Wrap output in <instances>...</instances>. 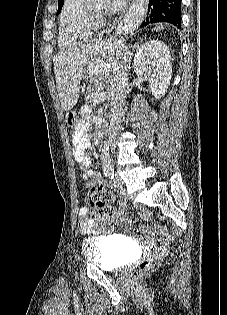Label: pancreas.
<instances>
[{
	"label": "pancreas",
	"mask_w": 227,
	"mask_h": 315,
	"mask_svg": "<svg viewBox=\"0 0 227 315\" xmlns=\"http://www.w3.org/2000/svg\"><path fill=\"white\" fill-rule=\"evenodd\" d=\"M94 92H100L99 84L95 81L94 78L90 80V84L87 86L86 97L90 98L91 101L99 100L93 96ZM108 98V95L104 94L103 98L99 101L104 102Z\"/></svg>",
	"instance_id": "obj_1"
}]
</instances>
